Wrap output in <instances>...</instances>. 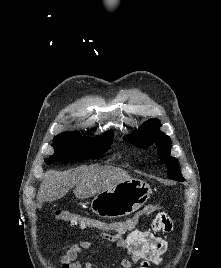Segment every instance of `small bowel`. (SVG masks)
Here are the masks:
<instances>
[{"label": "small bowel", "mask_w": 221, "mask_h": 268, "mask_svg": "<svg viewBox=\"0 0 221 268\" xmlns=\"http://www.w3.org/2000/svg\"><path fill=\"white\" fill-rule=\"evenodd\" d=\"M172 220L165 214H158L151 222V231L133 229L128 232L102 231L94 239L113 243L117 248L127 253L126 258L119 261L120 268H151L159 266L163 255L168 253L166 240L154 232H170ZM93 248L92 242L81 240L71 245L60 257V268H97L90 261H82L80 255Z\"/></svg>", "instance_id": "obj_1"}]
</instances>
